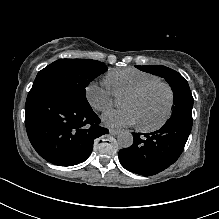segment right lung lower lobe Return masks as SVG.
<instances>
[{
  "label": "right lung lower lobe",
  "mask_w": 219,
  "mask_h": 219,
  "mask_svg": "<svg viewBox=\"0 0 219 219\" xmlns=\"http://www.w3.org/2000/svg\"><path fill=\"white\" fill-rule=\"evenodd\" d=\"M91 106L47 89L30 90L25 105V125L37 153L50 163L73 166L92 152L93 140L108 130L101 127Z\"/></svg>",
  "instance_id": "right-lung-lower-lobe-1"
}]
</instances>
